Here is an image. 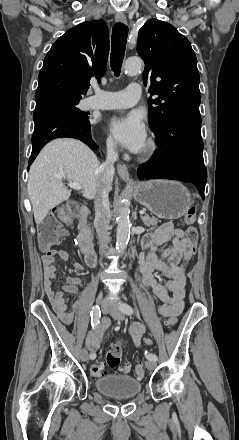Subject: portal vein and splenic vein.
Here are the masks:
<instances>
[{"label":"portal vein and splenic vein","mask_w":239,"mask_h":440,"mask_svg":"<svg viewBox=\"0 0 239 440\" xmlns=\"http://www.w3.org/2000/svg\"><path fill=\"white\" fill-rule=\"evenodd\" d=\"M69 188H73V190H82L80 184H74V182H69L68 184ZM139 214L143 215L145 214V212H143L142 210L139 212Z\"/></svg>","instance_id":"obj_1"}]
</instances>
